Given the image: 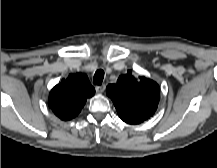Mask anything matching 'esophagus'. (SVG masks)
<instances>
[{
	"label": "esophagus",
	"instance_id": "esophagus-1",
	"mask_svg": "<svg viewBox=\"0 0 217 168\" xmlns=\"http://www.w3.org/2000/svg\"><path fill=\"white\" fill-rule=\"evenodd\" d=\"M105 85L103 84V85H100V86H96L95 87V90H96V92L97 93H99V94H102L104 91H105Z\"/></svg>",
	"mask_w": 217,
	"mask_h": 168
}]
</instances>
